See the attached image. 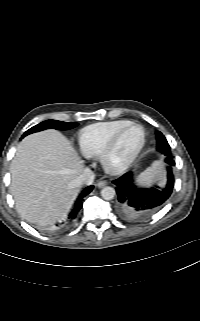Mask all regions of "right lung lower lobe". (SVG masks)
<instances>
[{
  "label": "right lung lower lobe",
  "instance_id": "right-lung-lower-lobe-1",
  "mask_svg": "<svg viewBox=\"0 0 200 321\" xmlns=\"http://www.w3.org/2000/svg\"><path fill=\"white\" fill-rule=\"evenodd\" d=\"M92 189H93V186H88L83 190V192L80 194L79 198L77 199L74 208L70 212L67 220L65 222L61 223L59 228H61V229L66 228L67 226H69L76 219L80 209L82 208V200H83V198L86 195H88L92 191Z\"/></svg>",
  "mask_w": 200,
  "mask_h": 321
}]
</instances>
